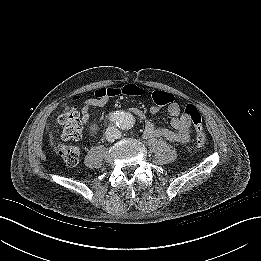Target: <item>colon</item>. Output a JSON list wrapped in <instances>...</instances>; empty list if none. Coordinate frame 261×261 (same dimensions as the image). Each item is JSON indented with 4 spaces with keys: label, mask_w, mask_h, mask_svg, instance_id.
Here are the masks:
<instances>
[{
    "label": "colon",
    "mask_w": 261,
    "mask_h": 261,
    "mask_svg": "<svg viewBox=\"0 0 261 261\" xmlns=\"http://www.w3.org/2000/svg\"><path fill=\"white\" fill-rule=\"evenodd\" d=\"M144 93V90L135 85L127 84L122 87H103L94 92V95L98 98H112L116 96H140ZM153 101L160 105H167L174 100V96L164 91H154L152 93ZM185 114L191 119L195 131L197 147H203L206 142V136L202 124V116L199 110L192 104H188L185 107ZM58 122L62 125V138L64 140H78L82 136L83 121L80 117L78 110L66 105L58 117ZM58 154L65 161L66 164L74 166L78 163L80 156V149L75 145L60 144L57 148Z\"/></svg>",
    "instance_id": "5ec220e1"
}]
</instances>
